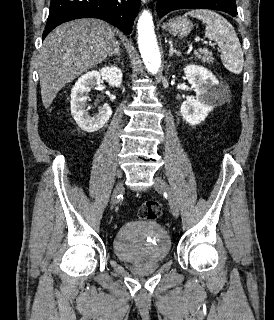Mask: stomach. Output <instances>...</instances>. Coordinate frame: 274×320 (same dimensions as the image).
Wrapping results in <instances>:
<instances>
[{
	"label": "stomach",
	"mask_w": 274,
	"mask_h": 320,
	"mask_svg": "<svg viewBox=\"0 0 274 320\" xmlns=\"http://www.w3.org/2000/svg\"><path fill=\"white\" fill-rule=\"evenodd\" d=\"M162 28L163 30H167L172 36L183 38V36L190 34L193 24L187 18H173V20H169L168 24H163Z\"/></svg>",
	"instance_id": "obj_1"
}]
</instances>
